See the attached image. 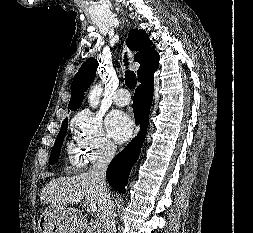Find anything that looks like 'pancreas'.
Instances as JSON below:
<instances>
[{
  "label": "pancreas",
  "instance_id": "1",
  "mask_svg": "<svg viewBox=\"0 0 253 233\" xmlns=\"http://www.w3.org/2000/svg\"><path fill=\"white\" fill-rule=\"evenodd\" d=\"M86 233H103L102 226L99 220H94L86 227Z\"/></svg>",
  "mask_w": 253,
  "mask_h": 233
}]
</instances>
